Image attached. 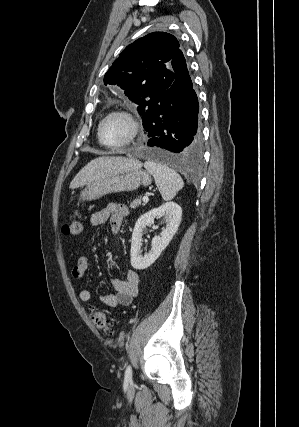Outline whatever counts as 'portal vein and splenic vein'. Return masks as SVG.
Masks as SVG:
<instances>
[{"label": "portal vein and splenic vein", "instance_id": "obj_1", "mask_svg": "<svg viewBox=\"0 0 299 427\" xmlns=\"http://www.w3.org/2000/svg\"><path fill=\"white\" fill-rule=\"evenodd\" d=\"M149 201V198H148V196L146 195V196H144L143 197V202H148Z\"/></svg>", "mask_w": 299, "mask_h": 427}]
</instances>
